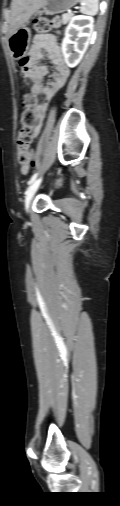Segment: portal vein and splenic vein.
Listing matches in <instances>:
<instances>
[{
    "instance_id": "1",
    "label": "portal vein and splenic vein",
    "mask_w": 120,
    "mask_h": 506,
    "mask_svg": "<svg viewBox=\"0 0 120 506\" xmlns=\"http://www.w3.org/2000/svg\"><path fill=\"white\" fill-rule=\"evenodd\" d=\"M68 13H69V14H71V13H72V11H68Z\"/></svg>"
}]
</instances>
